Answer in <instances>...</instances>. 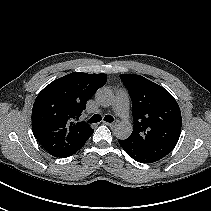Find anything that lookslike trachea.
Masks as SVG:
<instances>
[{
	"mask_svg": "<svg viewBox=\"0 0 211 211\" xmlns=\"http://www.w3.org/2000/svg\"><path fill=\"white\" fill-rule=\"evenodd\" d=\"M101 119L102 118L99 114H95L89 119V123H97V122H100ZM104 121L111 123L114 121V118L111 115H106L104 117Z\"/></svg>",
	"mask_w": 211,
	"mask_h": 211,
	"instance_id": "trachea-1",
	"label": "trachea"
}]
</instances>
